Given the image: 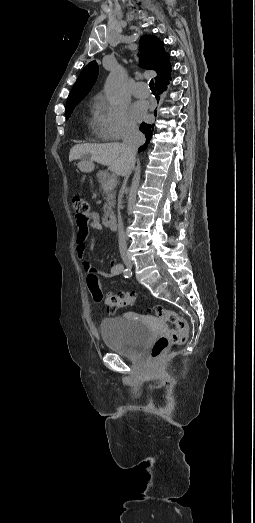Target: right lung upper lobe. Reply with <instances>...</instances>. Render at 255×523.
<instances>
[{"label": "right lung upper lobe", "instance_id": "obj_1", "mask_svg": "<svg viewBox=\"0 0 255 523\" xmlns=\"http://www.w3.org/2000/svg\"><path fill=\"white\" fill-rule=\"evenodd\" d=\"M140 58L142 67L148 70H153L157 73L155 78V86L157 90V100L159 94L166 89L168 80L171 75V64L169 62L170 55L164 49V44L154 35H144L140 38ZM98 76V64L95 61L90 62L80 73L76 80L67 102H80L93 87ZM156 115V111L154 112ZM154 124L142 123L140 131L144 133L146 142L139 148L143 151L147 148L151 140Z\"/></svg>", "mask_w": 255, "mask_h": 523}]
</instances>
